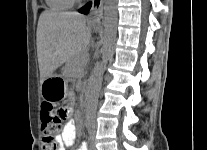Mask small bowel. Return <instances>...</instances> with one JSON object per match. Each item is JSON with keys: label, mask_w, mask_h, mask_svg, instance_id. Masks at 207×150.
Instances as JSON below:
<instances>
[{"label": "small bowel", "mask_w": 207, "mask_h": 150, "mask_svg": "<svg viewBox=\"0 0 207 150\" xmlns=\"http://www.w3.org/2000/svg\"><path fill=\"white\" fill-rule=\"evenodd\" d=\"M77 138V129L74 121L67 122L61 132L56 135L55 141L58 145V150H66L75 144ZM89 140H82V145L78 146V150H89Z\"/></svg>", "instance_id": "obj_1"}]
</instances>
